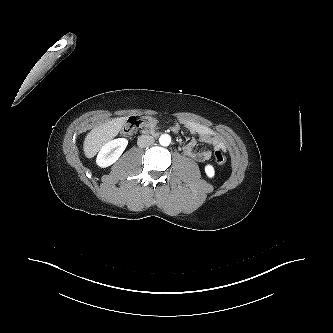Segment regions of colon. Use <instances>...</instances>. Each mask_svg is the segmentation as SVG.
I'll list each match as a JSON object with an SVG mask.
<instances>
[{
  "label": "colon",
  "instance_id": "5ec220e1",
  "mask_svg": "<svg viewBox=\"0 0 333 333\" xmlns=\"http://www.w3.org/2000/svg\"><path fill=\"white\" fill-rule=\"evenodd\" d=\"M146 123L145 120L143 119H138L136 117H131L127 123L124 125V127L122 128L120 134L122 136H131L133 135L136 130L141 127L144 126ZM227 159L226 156L223 154V152L221 150H215L214 152V162L221 166L224 165L226 163Z\"/></svg>",
  "mask_w": 333,
  "mask_h": 333
}]
</instances>
